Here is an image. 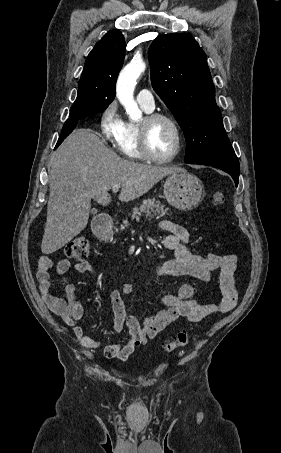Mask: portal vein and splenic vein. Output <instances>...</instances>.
Listing matches in <instances>:
<instances>
[{
  "label": "portal vein and splenic vein",
  "mask_w": 281,
  "mask_h": 453,
  "mask_svg": "<svg viewBox=\"0 0 281 453\" xmlns=\"http://www.w3.org/2000/svg\"><path fill=\"white\" fill-rule=\"evenodd\" d=\"M119 188H121L120 184H114V186H112L113 192H118Z\"/></svg>",
  "instance_id": "1"
}]
</instances>
